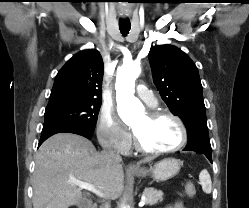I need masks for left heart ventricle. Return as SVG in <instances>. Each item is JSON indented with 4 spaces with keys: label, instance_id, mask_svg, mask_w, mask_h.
<instances>
[{
    "label": "left heart ventricle",
    "instance_id": "obj_1",
    "mask_svg": "<svg viewBox=\"0 0 249 208\" xmlns=\"http://www.w3.org/2000/svg\"><path fill=\"white\" fill-rule=\"evenodd\" d=\"M133 130L142 145L149 149H169L181 139L179 126L169 117L151 119L146 114L134 123Z\"/></svg>",
    "mask_w": 249,
    "mask_h": 208
}]
</instances>
